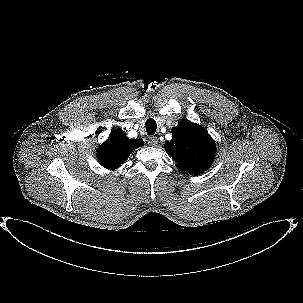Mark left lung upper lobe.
<instances>
[{"label": "left lung upper lobe", "mask_w": 303, "mask_h": 303, "mask_svg": "<svg viewBox=\"0 0 303 303\" xmlns=\"http://www.w3.org/2000/svg\"><path fill=\"white\" fill-rule=\"evenodd\" d=\"M165 150L177 162L178 170L192 174L204 172L215 157V143L200 125L183 120L172 130Z\"/></svg>", "instance_id": "5c2ea615"}]
</instances>
